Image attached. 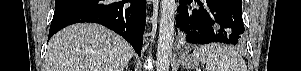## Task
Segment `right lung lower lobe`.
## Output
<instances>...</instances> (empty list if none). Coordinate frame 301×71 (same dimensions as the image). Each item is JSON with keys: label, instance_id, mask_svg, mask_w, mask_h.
Masks as SVG:
<instances>
[{"label": "right lung lower lobe", "instance_id": "98d812e1", "mask_svg": "<svg viewBox=\"0 0 301 71\" xmlns=\"http://www.w3.org/2000/svg\"><path fill=\"white\" fill-rule=\"evenodd\" d=\"M145 12L146 0H55L48 39L60 29L74 23H98L121 35L140 55Z\"/></svg>", "mask_w": 301, "mask_h": 71}]
</instances>
